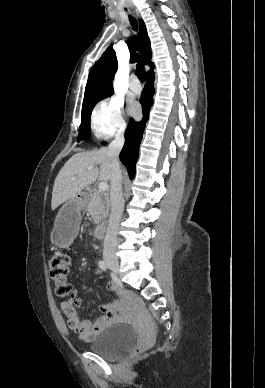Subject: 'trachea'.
Returning <instances> with one entry per match:
<instances>
[{
    "label": "trachea",
    "instance_id": "obj_1",
    "mask_svg": "<svg viewBox=\"0 0 265 388\" xmlns=\"http://www.w3.org/2000/svg\"><path fill=\"white\" fill-rule=\"evenodd\" d=\"M130 22H131V25L133 27L134 30H137V21L134 17L130 16ZM136 75L138 76V78L144 82L145 79H146V72L145 70L143 69V66L142 65H138L137 66V69H136Z\"/></svg>",
    "mask_w": 265,
    "mask_h": 388
}]
</instances>
